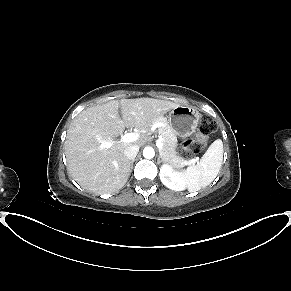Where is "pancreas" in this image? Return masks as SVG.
<instances>
[{
  "instance_id": "pancreas-1",
  "label": "pancreas",
  "mask_w": 291,
  "mask_h": 291,
  "mask_svg": "<svg viewBox=\"0 0 291 291\" xmlns=\"http://www.w3.org/2000/svg\"><path fill=\"white\" fill-rule=\"evenodd\" d=\"M155 122L164 124V126L158 128V133L163 138V147L159 149L160 157L164 162L169 163L176 168L186 166V160L177 154V137L173 129L164 120L159 119Z\"/></svg>"
}]
</instances>
